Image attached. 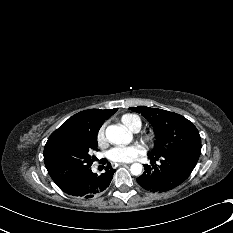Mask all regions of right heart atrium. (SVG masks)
<instances>
[{"label":"right heart atrium","mask_w":233,"mask_h":233,"mask_svg":"<svg viewBox=\"0 0 233 233\" xmlns=\"http://www.w3.org/2000/svg\"><path fill=\"white\" fill-rule=\"evenodd\" d=\"M96 140L99 146L103 147L106 145L107 140H106V135H105V127L102 126L97 132L96 135Z\"/></svg>","instance_id":"1"}]
</instances>
